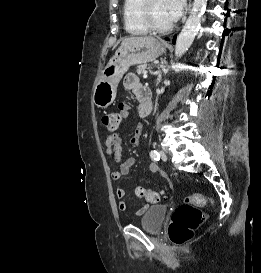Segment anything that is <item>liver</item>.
<instances>
[{
  "instance_id": "6515ba94",
  "label": "liver",
  "mask_w": 261,
  "mask_h": 273,
  "mask_svg": "<svg viewBox=\"0 0 261 273\" xmlns=\"http://www.w3.org/2000/svg\"><path fill=\"white\" fill-rule=\"evenodd\" d=\"M144 38H149V37H129V38H126L122 41V44L121 45H124L130 41H133V40H136V39H144Z\"/></svg>"
}]
</instances>
